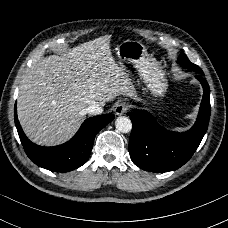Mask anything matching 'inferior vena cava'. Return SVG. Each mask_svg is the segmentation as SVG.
I'll use <instances>...</instances> for the list:
<instances>
[{
    "mask_svg": "<svg viewBox=\"0 0 228 228\" xmlns=\"http://www.w3.org/2000/svg\"><path fill=\"white\" fill-rule=\"evenodd\" d=\"M102 112H103V108L97 103H93L92 105H89L85 109V113L90 115H98V114H101Z\"/></svg>",
    "mask_w": 228,
    "mask_h": 228,
    "instance_id": "602c4592",
    "label": "inferior vena cava"
}]
</instances>
